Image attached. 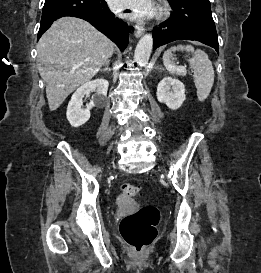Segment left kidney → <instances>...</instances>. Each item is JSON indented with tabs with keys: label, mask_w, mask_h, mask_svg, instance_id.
Returning a JSON list of instances; mask_svg holds the SVG:
<instances>
[{
	"label": "left kidney",
	"mask_w": 261,
	"mask_h": 273,
	"mask_svg": "<svg viewBox=\"0 0 261 273\" xmlns=\"http://www.w3.org/2000/svg\"><path fill=\"white\" fill-rule=\"evenodd\" d=\"M156 96L160 103H165L168 108L176 110L185 100L184 84L178 79L165 77L157 86Z\"/></svg>",
	"instance_id": "left-kidney-1"
}]
</instances>
